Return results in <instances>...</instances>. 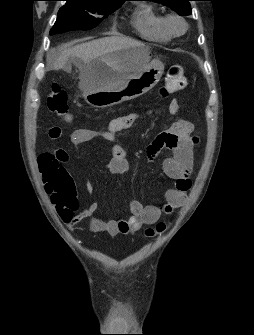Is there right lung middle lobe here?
I'll list each match as a JSON object with an SVG mask.
<instances>
[{"label":"right lung middle lobe","instance_id":"1","mask_svg":"<svg viewBox=\"0 0 254 335\" xmlns=\"http://www.w3.org/2000/svg\"><path fill=\"white\" fill-rule=\"evenodd\" d=\"M50 35L70 30H89L97 26L108 14L121 6L119 3H103L88 0H65ZM95 14V16L93 15ZM103 15V18L96 17Z\"/></svg>","mask_w":254,"mask_h":335}]
</instances>
